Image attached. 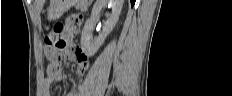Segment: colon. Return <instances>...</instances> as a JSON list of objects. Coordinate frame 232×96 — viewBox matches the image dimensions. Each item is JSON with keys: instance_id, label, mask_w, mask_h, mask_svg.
<instances>
[{"instance_id": "obj_1", "label": "colon", "mask_w": 232, "mask_h": 96, "mask_svg": "<svg viewBox=\"0 0 232 96\" xmlns=\"http://www.w3.org/2000/svg\"><path fill=\"white\" fill-rule=\"evenodd\" d=\"M70 20L67 21V23ZM66 23V25H67ZM65 29V24L57 23L53 30L45 38V53L48 59H50L53 64H51V71L57 72L59 70V65L56 64L61 58L62 51L66 46V41L63 37V32Z\"/></svg>"}]
</instances>
